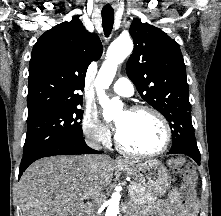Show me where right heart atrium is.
I'll list each match as a JSON object with an SVG mask.
<instances>
[{"label": "right heart atrium", "instance_id": "1", "mask_svg": "<svg viewBox=\"0 0 221 216\" xmlns=\"http://www.w3.org/2000/svg\"><path fill=\"white\" fill-rule=\"evenodd\" d=\"M82 131L86 139L92 143L106 145L110 142V130L101 122L95 111L85 112L82 119Z\"/></svg>", "mask_w": 221, "mask_h": 216}]
</instances>
